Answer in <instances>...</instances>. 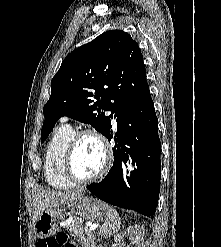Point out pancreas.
Instances as JSON below:
<instances>
[{"instance_id":"pancreas-1","label":"pancreas","mask_w":221,"mask_h":247,"mask_svg":"<svg viewBox=\"0 0 221 247\" xmlns=\"http://www.w3.org/2000/svg\"><path fill=\"white\" fill-rule=\"evenodd\" d=\"M68 228L79 238L82 247H95V236L92 232H89L87 227L83 226L82 219L74 218Z\"/></svg>"}]
</instances>
